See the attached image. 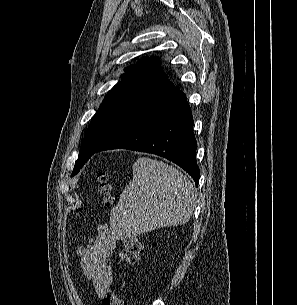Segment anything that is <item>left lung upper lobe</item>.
<instances>
[{
	"instance_id": "left-lung-upper-lobe-1",
	"label": "left lung upper lobe",
	"mask_w": 297,
	"mask_h": 305,
	"mask_svg": "<svg viewBox=\"0 0 297 305\" xmlns=\"http://www.w3.org/2000/svg\"><path fill=\"white\" fill-rule=\"evenodd\" d=\"M124 71V79L107 93L85 133L72 176L76 175L95 153L116 120L137 95L153 82L167 79L160 71L155 58L141 60Z\"/></svg>"
}]
</instances>
